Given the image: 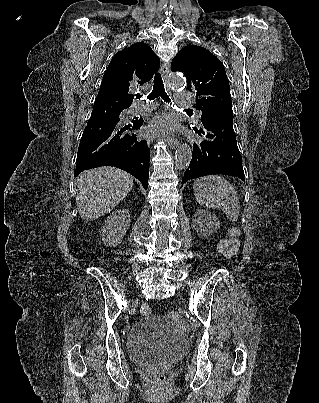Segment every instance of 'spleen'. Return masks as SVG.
Masks as SVG:
<instances>
[{
    "mask_svg": "<svg viewBox=\"0 0 319 403\" xmlns=\"http://www.w3.org/2000/svg\"><path fill=\"white\" fill-rule=\"evenodd\" d=\"M197 202L207 208H221L226 217L237 221L240 201L234 186L220 175L198 178L193 184Z\"/></svg>",
    "mask_w": 319,
    "mask_h": 403,
    "instance_id": "1",
    "label": "spleen"
}]
</instances>
